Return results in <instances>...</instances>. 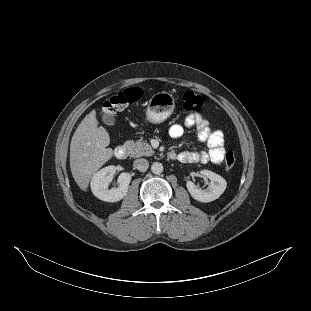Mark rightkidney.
<instances>
[{
    "instance_id": "ca27d5eb",
    "label": "right kidney",
    "mask_w": 311,
    "mask_h": 311,
    "mask_svg": "<svg viewBox=\"0 0 311 311\" xmlns=\"http://www.w3.org/2000/svg\"><path fill=\"white\" fill-rule=\"evenodd\" d=\"M115 172V166H107L99 170L92 177L90 183L91 190L98 199L106 202H117L126 196L131 181V175L129 173H121L118 177L119 186L108 189V185L112 181Z\"/></svg>"
}]
</instances>
